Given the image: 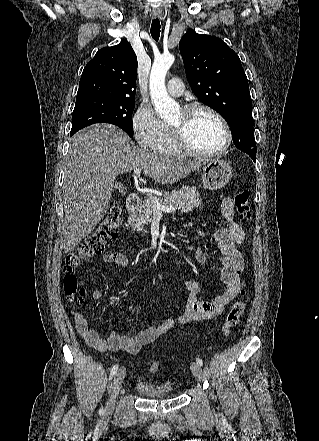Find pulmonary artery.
<instances>
[{"label": "pulmonary artery", "instance_id": "obj_1", "mask_svg": "<svg viewBox=\"0 0 319 441\" xmlns=\"http://www.w3.org/2000/svg\"><path fill=\"white\" fill-rule=\"evenodd\" d=\"M167 92L173 97H181L184 93V86L179 78H172L167 84Z\"/></svg>", "mask_w": 319, "mask_h": 441}]
</instances>
